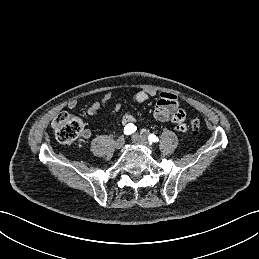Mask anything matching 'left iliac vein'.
Instances as JSON below:
<instances>
[{
  "label": "left iliac vein",
  "instance_id": "4c4485c4",
  "mask_svg": "<svg viewBox=\"0 0 259 259\" xmlns=\"http://www.w3.org/2000/svg\"><path fill=\"white\" fill-rule=\"evenodd\" d=\"M132 140L134 143L139 144V145H144V146L148 145L147 140L138 134L132 135Z\"/></svg>",
  "mask_w": 259,
  "mask_h": 259
}]
</instances>
